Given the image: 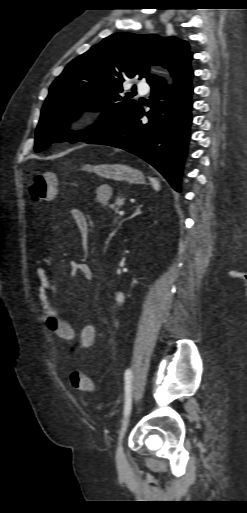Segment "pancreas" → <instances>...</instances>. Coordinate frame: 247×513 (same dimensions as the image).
I'll use <instances>...</instances> for the list:
<instances>
[{"instance_id":"1","label":"pancreas","mask_w":247,"mask_h":513,"mask_svg":"<svg viewBox=\"0 0 247 513\" xmlns=\"http://www.w3.org/2000/svg\"><path fill=\"white\" fill-rule=\"evenodd\" d=\"M122 204H123V199L117 201L115 204H111L110 207L114 210L115 213H118ZM119 218L120 217H116L115 221H118Z\"/></svg>"}]
</instances>
